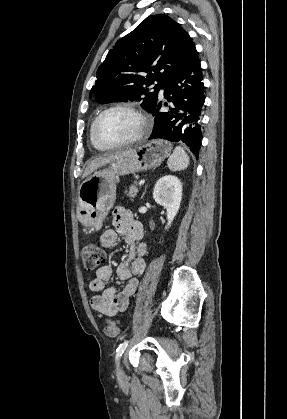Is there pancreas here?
<instances>
[{"mask_svg": "<svg viewBox=\"0 0 287 419\" xmlns=\"http://www.w3.org/2000/svg\"><path fill=\"white\" fill-rule=\"evenodd\" d=\"M138 192L137 185H131L128 190L125 191V194L130 198H135Z\"/></svg>", "mask_w": 287, "mask_h": 419, "instance_id": "cf45deb5", "label": "pancreas"}]
</instances>
